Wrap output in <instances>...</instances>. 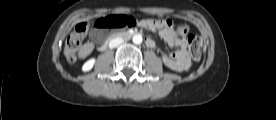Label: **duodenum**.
<instances>
[{"instance_id": "1", "label": "duodenum", "mask_w": 276, "mask_h": 120, "mask_svg": "<svg viewBox=\"0 0 276 120\" xmlns=\"http://www.w3.org/2000/svg\"><path fill=\"white\" fill-rule=\"evenodd\" d=\"M137 33L136 32H129V31H122V32H118V33H115L114 35H112L106 42H104L100 48L101 49H105L107 48V46L109 45L110 42L114 41V40H117V39H124V40H127V39H130L134 36H136ZM145 43L146 45H148L150 43V41L148 39L145 40Z\"/></svg>"}]
</instances>
